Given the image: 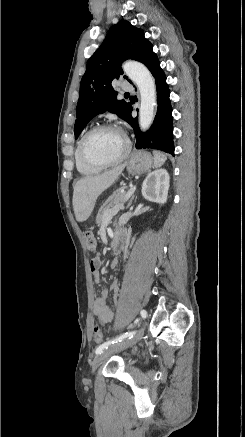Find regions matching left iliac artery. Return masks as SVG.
Here are the masks:
<instances>
[{"mask_svg":"<svg viewBox=\"0 0 245 437\" xmlns=\"http://www.w3.org/2000/svg\"><path fill=\"white\" fill-rule=\"evenodd\" d=\"M140 313H141V316L143 318H146L147 312L145 310H141ZM136 322H138V320H136ZM135 333H136V331L126 332V333H124V334H122V335H120V336H118V337H116V338H114L112 340L106 341V342L102 343L96 349L95 353L98 355V354L102 353L104 349H107L109 345L117 343V342L124 341L126 338H132Z\"/></svg>","mask_w":245,"mask_h":437,"instance_id":"1","label":"left iliac artery"}]
</instances>
